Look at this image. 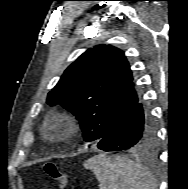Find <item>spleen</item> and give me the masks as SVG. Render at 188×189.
<instances>
[{
	"label": "spleen",
	"mask_w": 188,
	"mask_h": 189,
	"mask_svg": "<svg viewBox=\"0 0 188 189\" xmlns=\"http://www.w3.org/2000/svg\"><path fill=\"white\" fill-rule=\"evenodd\" d=\"M99 181L100 189H155L153 176L140 164L121 157L99 154L84 163Z\"/></svg>",
	"instance_id": "spleen-1"
}]
</instances>
